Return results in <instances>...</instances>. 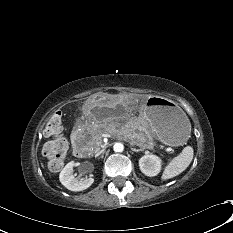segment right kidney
Wrapping results in <instances>:
<instances>
[{
	"label": "right kidney",
	"instance_id": "obj_1",
	"mask_svg": "<svg viewBox=\"0 0 233 233\" xmlns=\"http://www.w3.org/2000/svg\"><path fill=\"white\" fill-rule=\"evenodd\" d=\"M74 166L75 162L71 161L62 169L59 179L62 185H64L68 190L71 191H82L90 187L94 179L92 177L89 178H81V177H74Z\"/></svg>",
	"mask_w": 233,
	"mask_h": 233
}]
</instances>
